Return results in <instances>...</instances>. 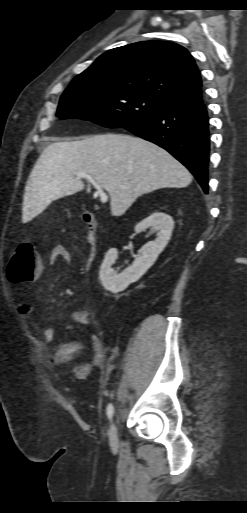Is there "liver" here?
Returning <instances> with one entry per match:
<instances>
[{
	"instance_id": "liver-1",
	"label": "liver",
	"mask_w": 247,
	"mask_h": 513,
	"mask_svg": "<svg viewBox=\"0 0 247 513\" xmlns=\"http://www.w3.org/2000/svg\"><path fill=\"white\" fill-rule=\"evenodd\" d=\"M84 172L110 196L111 214L121 216L142 194L185 188L192 175L166 150L126 134H97L45 148L27 182L23 217H35L53 201L84 189Z\"/></svg>"
}]
</instances>
